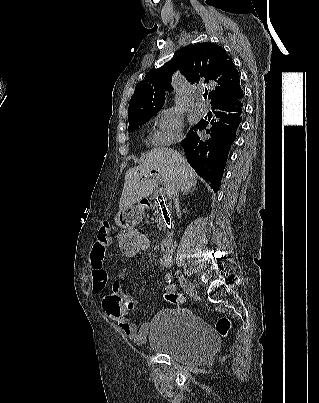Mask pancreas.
<instances>
[{"label":"pancreas","mask_w":319,"mask_h":403,"mask_svg":"<svg viewBox=\"0 0 319 403\" xmlns=\"http://www.w3.org/2000/svg\"><path fill=\"white\" fill-rule=\"evenodd\" d=\"M155 213L157 214L156 223L159 229H164L166 227L163 215L161 214L160 208H156Z\"/></svg>","instance_id":"1"}]
</instances>
